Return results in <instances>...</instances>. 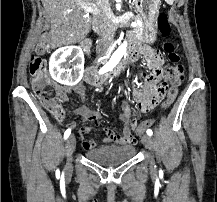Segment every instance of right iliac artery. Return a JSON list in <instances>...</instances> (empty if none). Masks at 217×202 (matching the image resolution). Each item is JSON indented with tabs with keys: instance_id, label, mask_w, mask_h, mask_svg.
Listing matches in <instances>:
<instances>
[{
	"instance_id": "82829eb1",
	"label": "right iliac artery",
	"mask_w": 217,
	"mask_h": 202,
	"mask_svg": "<svg viewBox=\"0 0 217 202\" xmlns=\"http://www.w3.org/2000/svg\"><path fill=\"white\" fill-rule=\"evenodd\" d=\"M70 134H71V129L69 128L64 133V139H67L70 136Z\"/></svg>"
}]
</instances>
